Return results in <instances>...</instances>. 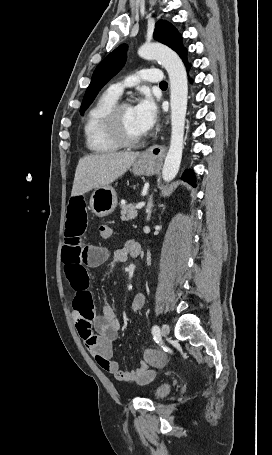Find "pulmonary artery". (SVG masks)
Here are the masks:
<instances>
[{
	"label": "pulmonary artery",
	"instance_id": "1",
	"mask_svg": "<svg viewBox=\"0 0 272 455\" xmlns=\"http://www.w3.org/2000/svg\"><path fill=\"white\" fill-rule=\"evenodd\" d=\"M140 80L160 83L162 82V74L158 69H142L137 75L131 76L123 82L113 84L110 90L119 96L125 87L132 86Z\"/></svg>",
	"mask_w": 272,
	"mask_h": 455
}]
</instances>
